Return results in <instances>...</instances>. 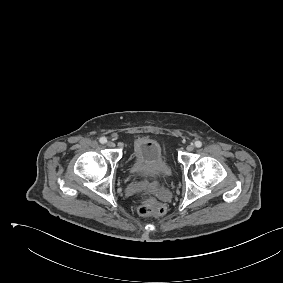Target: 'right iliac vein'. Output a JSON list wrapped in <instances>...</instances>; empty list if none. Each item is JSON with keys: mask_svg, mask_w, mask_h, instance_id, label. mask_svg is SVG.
I'll return each mask as SVG.
<instances>
[{"mask_svg": "<svg viewBox=\"0 0 283 283\" xmlns=\"http://www.w3.org/2000/svg\"><path fill=\"white\" fill-rule=\"evenodd\" d=\"M107 146L108 147H115V143L110 140V141L107 142Z\"/></svg>", "mask_w": 283, "mask_h": 283, "instance_id": "1", "label": "right iliac vein"}]
</instances>
